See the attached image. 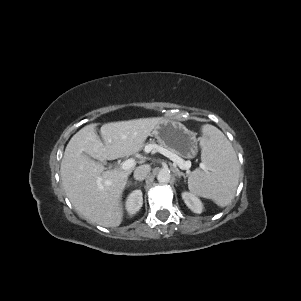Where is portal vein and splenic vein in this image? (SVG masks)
Instances as JSON below:
<instances>
[{"mask_svg": "<svg viewBox=\"0 0 301 301\" xmlns=\"http://www.w3.org/2000/svg\"><path fill=\"white\" fill-rule=\"evenodd\" d=\"M156 150L157 152L163 154L164 156L168 157L170 160H172L175 164L178 165V167L182 170H187L189 173V168L191 167L190 161H184L179 156L171 153L170 151L164 149L163 147H160L159 145H148L145 148L146 152H150L151 150ZM135 160L134 159H128L121 163L120 168L123 170L130 169L134 167Z\"/></svg>", "mask_w": 301, "mask_h": 301, "instance_id": "18ae733b", "label": "portal vein and splenic vein"}]
</instances>
